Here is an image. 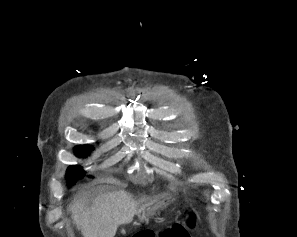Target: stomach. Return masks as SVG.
Returning <instances> with one entry per match:
<instances>
[{
	"label": "stomach",
	"mask_w": 297,
	"mask_h": 237,
	"mask_svg": "<svg viewBox=\"0 0 297 237\" xmlns=\"http://www.w3.org/2000/svg\"><path fill=\"white\" fill-rule=\"evenodd\" d=\"M169 199H164L162 201H159L156 204L148 205L142 209V211L139 213V219L148 221V219L155 214H157L161 209L166 207L169 204Z\"/></svg>",
	"instance_id": "stomach-1"
}]
</instances>
